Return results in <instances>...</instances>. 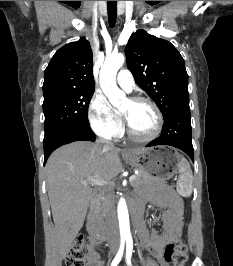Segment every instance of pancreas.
I'll list each match as a JSON object with an SVG mask.
<instances>
[{"instance_id": "cf45deb5", "label": "pancreas", "mask_w": 233, "mask_h": 266, "mask_svg": "<svg viewBox=\"0 0 233 266\" xmlns=\"http://www.w3.org/2000/svg\"><path fill=\"white\" fill-rule=\"evenodd\" d=\"M156 180H157V178L153 177L151 174L140 171L136 175L135 180L132 181L131 185H132V187H138V186H141L144 184L152 183ZM100 207H101L102 211H105V208H106V200L105 199L102 200Z\"/></svg>"}]
</instances>
